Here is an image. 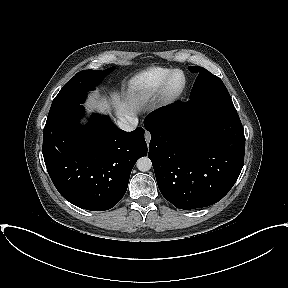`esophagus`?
Wrapping results in <instances>:
<instances>
[{"label": "esophagus", "mask_w": 288, "mask_h": 288, "mask_svg": "<svg viewBox=\"0 0 288 288\" xmlns=\"http://www.w3.org/2000/svg\"><path fill=\"white\" fill-rule=\"evenodd\" d=\"M145 140H146L147 144H149V142L151 140V134L148 131H145Z\"/></svg>", "instance_id": "34e87169"}]
</instances>
